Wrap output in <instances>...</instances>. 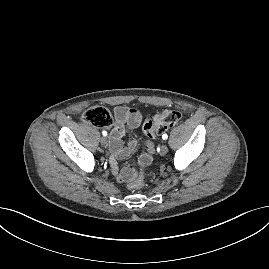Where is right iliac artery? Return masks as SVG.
Instances as JSON below:
<instances>
[{
	"instance_id": "1",
	"label": "right iliac artery",
	"mask_w": 269,
	"mask_h": 269,
	"mask_svg": "<svg viewBox=\"0 0 269 269\" xmlns=\"http://www.w3.org/2000/svg\"><path fill=\"white\" fill-rule=\"evenodd\" d=\"M103 136H107V132L104 130L102 131Z\"/></svg>"
}]
</instances>
